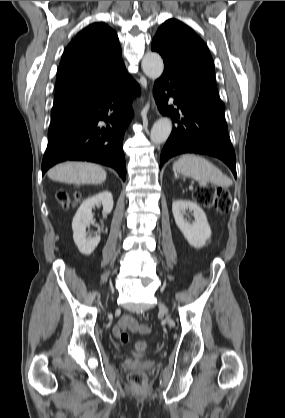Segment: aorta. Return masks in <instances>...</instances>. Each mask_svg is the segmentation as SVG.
Wrapping results in <instances>:
<instances>
[{"mask_svg": "<svg viewBox=\"0 0 285 418\" xmlns=\"http://www.w3.org/2000/svg\"><path fill=\"white\" fill-rule=\"evenodd\" d=\"M141 66L143 72L152 80L158 79L164 69V64L161 56L154 52H148L142 59ZM172 131V122L169 118L163 117L155 122L151 129L150 139L155 144L165 142Z\"/></svg>", "mask_w": 285, "mask_h": 418, "instance_id": "762f6f07", "label": "aorta"}]
</instances>
